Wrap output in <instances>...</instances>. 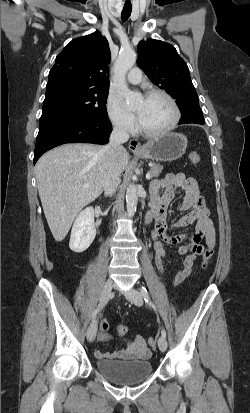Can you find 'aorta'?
Returning <instances> with one entry per match:
<instances>
[{"label":"aorta","mask_w":250,"mask_h":413,"mask_svg":"<svg viewBox=\"0 0 250 413\" xmlns=\"http://www.w3.org/2000/svg\"><path fill=\"white\" fill-rule=\"evenodd\" d=\"M136 62V54L133 51H123L119 54L114 65V83L118 92L125 98L128 107H134L140 100L141 94L131 91L126 83V73ZM138 197L136 187L130 184L126 190V203L128 216L136 212Z\"/></svg>","instance_id":"obj_1"}]
</instances>
